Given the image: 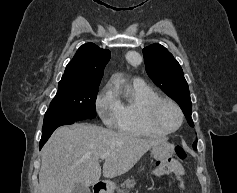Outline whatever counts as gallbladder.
I'll use <instances>...</instances> for the list:
<instances>
[{
	"instance_id": "1",
	"label": "gallbladder",
	"mask_w": 237,
	"mask_h": 193,
	"mask_svg": "<svg viewBox=\"0 0 237 193\" xmlns=\"http://www.w3.org/2000/svg\"><path fill=\"white\" fill-rule=\"evenodd\" d=\"M72 193H91L89 187L84 186L83 184H75Z\"/></svg>"
}]
</instances>
